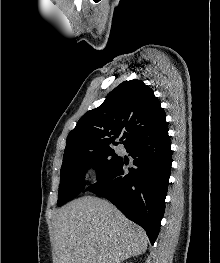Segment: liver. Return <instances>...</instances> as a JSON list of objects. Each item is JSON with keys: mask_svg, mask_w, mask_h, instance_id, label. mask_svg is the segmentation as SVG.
<instances>
[{"mask_svg": "<svg viewBox=\"0 0 220 263\" xmlns=\"http://www.w3.org/2000/svg\"><path fill=\"white\" fill-rule=\"evenodd\" d=\"M53 226L56 263H121L147 249L146 232L97 197L69 202Z\"/></svg>", "mask_w": 220, "mask_h": 263, "instance_id": "liver-1", "label": "liver"}]
</instances>
